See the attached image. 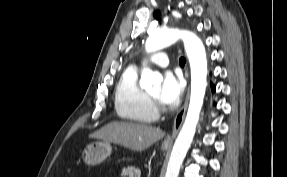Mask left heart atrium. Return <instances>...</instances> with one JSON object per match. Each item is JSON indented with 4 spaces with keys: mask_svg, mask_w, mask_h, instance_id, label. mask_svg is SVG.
Listing matches in <instances>:
<instances>
[{
    "mask_svg": "<svg viewBox=\"0 0 287 177\" xmlns=\"http://www.w3.org/2000/svg\"><path fill=\"white\" fill-rule=\"evenodd\" d=\"M184 90L182 79L172 71H166L163 76V82L160 88L159 98L165 105L176 103Z\"/></svg>",
    "mask_w": 287,
    "mask_h": 177,
    "instance_id": "left-heart-atrium-1",
    "label": "left heart atrium"
}]
</instances>
